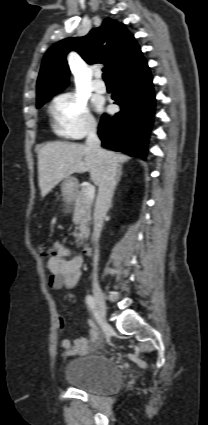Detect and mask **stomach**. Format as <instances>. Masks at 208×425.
Here are the masks:
<instances>
[{"label": "stomach", "instance_id": "stomach-1", "mask_svg": "<svg viewBox=\"0 0 208 425\" xmlns=\"http://www.w3.org/2000/svg\"><path fill=\"white\" fill-rule=\"evenodd\" d=\"M78 181L75 177H67L61 184L62 195L65 201H72L77 193Z\"/></svg>", "mask_w": 208, "mask_h": 425}]
</instances>
